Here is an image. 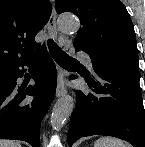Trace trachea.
Listing matches in <instances>:
<instances>
[{
	"label": "trachea",
	"mask_w": 145,
	"mask_h": 147,
	"mask_svg": "<svg viewBox=\"0 0 145 147\" xmlns=\"http://www.w3.org/2000/svg\"><path fill=\"white\" fill-rule=\"evenodd\" d=\"M54 60L62 67L78 64V61L67 55L53 40L47 42Z\"/></svg>",
	"instance_id": "3493384b"
}]
</instances>
